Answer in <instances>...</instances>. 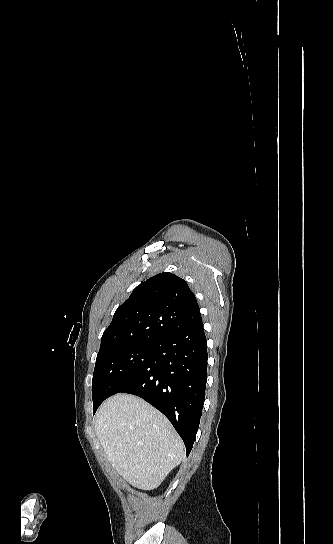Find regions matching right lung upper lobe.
Masks as SVG:
<instances>
[{
  "label": "right lung upper lobe",
  "instance_id": "1",
  "mask_svg": "<svg viewBox=\"0 0 333 544\" xmlns=\"http://www.w3.org/2000/svg\"><path fill=\"white\" fill-rule=\"evenodd\" d=\"M200 321L199 306L186 281L163 272L137 286L117 308L103 333L99 353L132 343L156 342Z\"/></svg>",
  "mask_w": 333,
  "mask_h": 544
}]
</instances>
